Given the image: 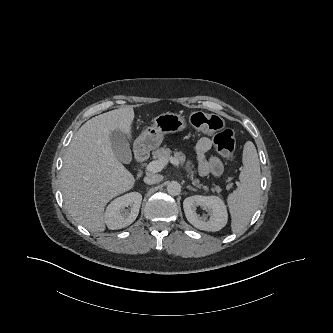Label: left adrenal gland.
<instances>
[{
  "instance_id": "left-adrenal-gland-1",
  "label": "left adrenal gland",
  "mask_w": 333,
  "mask_h": 333,
  "mask_svg": "<svg viewBox=\"0 0 333 333\" xmlns=\"http://www.w3.org/2000/svg\"><path fill=\"white\" fill-rule=\"evenodd\" d=\"M187 189L192 190V191H197L195 188H193L191 186H187Z\"/></svg>"
}]
</instances>
